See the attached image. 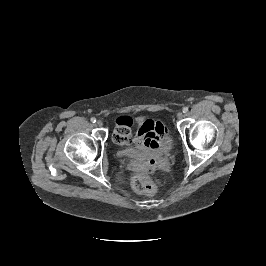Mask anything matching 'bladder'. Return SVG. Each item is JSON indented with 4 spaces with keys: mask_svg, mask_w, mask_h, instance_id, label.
Returning <instances> with one entry per match:
<instances>
[{
    "mask_svg": "<svg viewBox=\"0 0 266 266\" xmlns=\"http://www.w3.org/2000/svg\"><path fill=\"white\" fill-rule=\"evenodd\" d=\"M171 147H172V140L169 136H167V139L164 143L163 152L169 151L171 149ZM124 155L127 158L136 159V158L141 157L142 151L139 149L133 148V147H129V148L125 149Z\"/></svg>",
    "mask_w": 266,
    "mask_h": 266,
    "instance_id": "bladder-1",
    "label": "bladder"
}]
</instances>
